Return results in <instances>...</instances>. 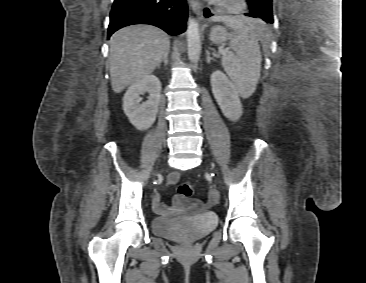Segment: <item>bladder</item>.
Listing matches in <instances>:
<instances>
[{
    "instance_id": "31cf9c89",
    "label": "bladder",
    "mask_w": 366,
    "mask_h": 283,
    "mask_svg": "<svg viewBox=\"0 0 366 283\" xmlns=\"http://www.w3.org/2000/svg\"><path fill=\"white\" fill-rule=\"evenodd\" d=\"M154 234L181 242L197 241L217 227V220L211 216L190 219L154 218L151 223Z\"/></svg>"
}]
</instances>
